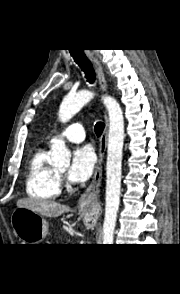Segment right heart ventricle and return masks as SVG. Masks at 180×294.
I'll return each instance as SVG.
<instances>
[{
	"label": "right heart ventricle",
	"mask_w": 180,
	"mask_h": 294,
	"mask_svg": "<svg viewBox=\"0 0 180 294\" xmlns=\"http://www.w3.org/2000/svg\"><path fill=\"white\" fill-rule=\"evenodd\" d=\"M46 148L38 149L31 157L26 178V193L38 200H54L60 193L59 176L47 163Z\"/></svg>",
	"instance_id": "right-heart-ventricle-1"
}]
</instances>
